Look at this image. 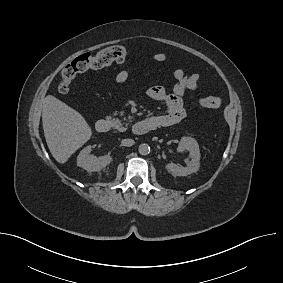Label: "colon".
<instances>
[{
    "instance_id": "5ec220e1",
    "label": "colon",
    "mask_w": 283,
    "mask_h": 283,
    "mask_svg": "<svg viewBox=\"0 0 283 283\" xmlns=\"http://www.w3.org/2000/svg\"><path fill=\"white\" fill-rule=\"evenodd\" d=\"M127 49L121 45L107 47L96 54L85 53L70 63H68L61 72V81L58 85L60 93H67L70 89L72 80L80 73L89 69L102 68L114 62H122L127 57ZM198 103L202 107L219 109L222 101L218 97L200 98Z\"/></svg>"
}]
</instances>
